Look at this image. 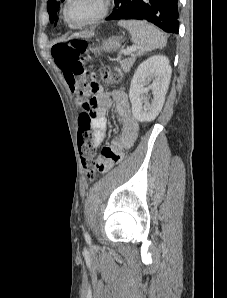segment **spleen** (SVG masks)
Instances as JSON below:
<instances>
[{
    "label": "spleen",
    "mask_w": 227,
    "mask_h": 298,
    "mask_svg": "<svg viewBox=\"0 0 227 298\" xmlns=\"http://www.w3.org/2000/svg\"><path fill=\"white\" fill-rule=\"evenodd\" d=\"M118 25L129 31L132 42L138 47V56L155 49H162L167 43L163 33L146 21L121 20Z\"/></svg>",
    "instance_id": "obj_1"
}]
</instances>
